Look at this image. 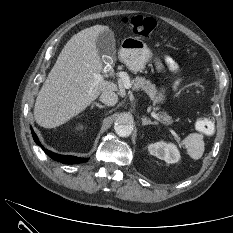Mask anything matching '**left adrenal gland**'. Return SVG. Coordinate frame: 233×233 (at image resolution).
<instances>
[{
  "instance_id": "obj_1",
  "label": "left adrenal gland",
  "mask_w": 233,
  "mask_h": 233,
  "mask_svg": "<svg viewBox=\"0 0 233 233\" xmlns=\"http://www.w3.org/2000/svg\"><path fill=\"white\" fill-rule=\"evenodd\" d=\"M142 120V125H157V122H152L150 119H147L145 117L141 118Z\"/></svg>"
}]
</instances>
